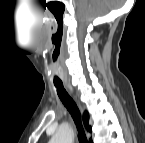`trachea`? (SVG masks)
<instances>
[{"mask_svg": "<svg viewBox=\"0 0 145 143\" xmlns=\"http://www.w3.org/2000/svg\"><path fill=\"white\" fill-rule=\"evenodd\" d=\"M54 85L57 88V94H58L59 98L61 99V101L65 105V107L68 109L69 113L71 114V116L76 124L78 134H79V142L88 143L83 125L81 123L79 109H78L76 103L69 96L67 91L64 89L62 82H54Z\"/></svg>", "mask_w": 145, "mask_h": 143, "instance_id": "1", "label": "trachea"}]
</instances>
